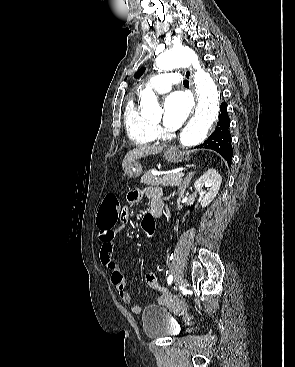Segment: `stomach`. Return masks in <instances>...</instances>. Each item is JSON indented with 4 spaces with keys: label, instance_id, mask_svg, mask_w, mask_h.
Masks as SVG:
<instances>
[{
    "label": "stomach",
    "instance_id": "0dacf381",
    "mask_svg": "<svg viewBox=\"0 0 295 367\" xmlns=\"http://www.w3.org/2000/svg\"><path fill=\"white\" fill-rule=\"evenodd\" d=\"M164 156L168 161L174 163L187 159V155L178 153L175 150L166 151ZM124 172L130 178H137L142 174V167L138 162L133 161L126 165Z\"/></svg>",
    "mask_w": 295,
    "mask_h": 367
}]
</instances>
